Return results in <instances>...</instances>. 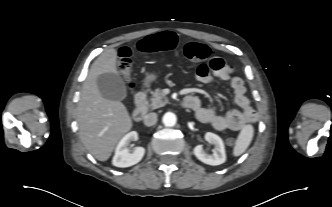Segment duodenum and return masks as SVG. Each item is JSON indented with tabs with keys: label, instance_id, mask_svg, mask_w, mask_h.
Segmentation results:
<instances>
[{
	"label": "duodenum",
	"instance_id": "obj_1",
	"mask_svg": "<svg viewBox=\"0 0 332 207\" xmlns=\"http://www.w3.org/2000/svg\"><path fill=\"white\" fill-rule=\"evenodd\" d=\"M135 102H136V108L133 111V119L136 122L143 121L146 111H147V104H146V91L143 89L138 90L135 93ZM193 103V97L186 96L182 100V105L185 108H190Z\"/></svg>",
	"mask_w": 332,
	"mask_h": 207
}]
</instances>
